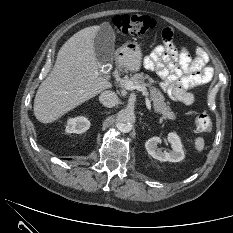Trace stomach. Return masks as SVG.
<instances>
[{
  "label": "stomach",
  "instance_id": "0dacf381",
  "mask_svg": "<svg viewBox=\"0 0 233 233\" xmlns=\"http://www.w3.org/2000/svg\"><path fill=\"white\" fill-rule=\"evenodd\" d=\"M142 53L137 42L128 41L118 50V62L130 71L141 67Z\"/></svg>",
  "mask_w": 233,
  "mask_h": 233
}]
</instances>
